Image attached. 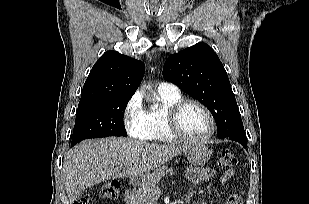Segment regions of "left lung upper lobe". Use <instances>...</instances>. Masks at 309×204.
I'll return each mask as SVG.
<instances>
[{
  "instance_id": "5c2ea615",
  "label": "left lung upper lobe",
  "mask_w": 309,
  "mask_h": 204,
  "mask_svg": "<svg viewBox=\"0 0 309 204\" xmlns=\"http://www.w3.org/2000/svg\"><path fill=\"white\" fill-rule=\"evenodd\" d=\"M163 77L210 110L219 138L244 130L224 66L206 43L170 55L163 67Z\"/></svg>"
}]
</instances>
